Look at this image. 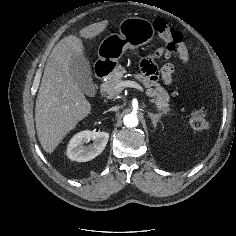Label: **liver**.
Returning a JSON list of instances; mask_svg holds the SVG:
<instances>
[{
    "label": "liver",
    "instance_id": "1",
    "mask_svg": "<svg viewBox=\"0 0 236 236\" xmlns=\"http://www.w3.org/2000/svg\"><path fill=\"white\" fill-rule=\"evenodd\" d=\"M108 25L104 20L80 31L85 39H94ZM74 55H84L80 38L70 35L52 49L44 70L35 108L37 135L44 151L51 154L64 137L91 113V104L70 74Z\"/></svg>",
    "mask_w": 236,
    "mask_h": 236
}]
</instances>
